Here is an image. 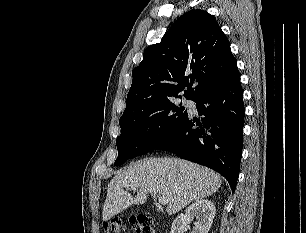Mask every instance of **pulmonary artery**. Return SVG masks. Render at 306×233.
<instances>
[{
  "label": "pulmonary artery",
  "instance_id": "obj_1",
  "mask_svg": "<svg viewBox=\"0 0 306 233\" xmlns=\"http://www.w3.org/2000/svg\"><path fill=\"white\" fill-rule=\"evenodd\" d=\"M186 103H190L188 100H185Z\"/></svg>",
  "mask_w": 306,
  "mask_h": 233
}]
</instances>
